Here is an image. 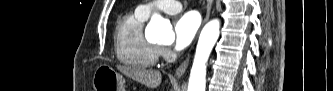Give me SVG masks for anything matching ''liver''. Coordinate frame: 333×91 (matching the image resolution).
<instances>
[{"instance_id": "liver-1", "label": "liver", "mask_w": 333, "mask_h": 91, "mask_svg": "<svg viewBox=\"0 0 333 91\" xmlns=\"http://www.w3.org/2000/svg\"><path fill=\"white\" fill-rule=\"evenodd\" d=\"M117 69L129 78H132L133 80L152 89L157 88L162 80L161 73L156 70H147L143 68L121 65H118Z\"/></svg>"}]
</instances>
